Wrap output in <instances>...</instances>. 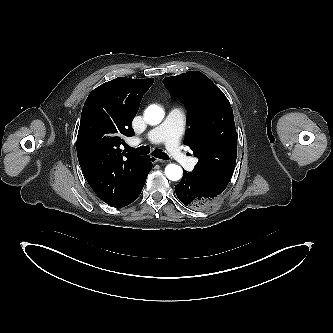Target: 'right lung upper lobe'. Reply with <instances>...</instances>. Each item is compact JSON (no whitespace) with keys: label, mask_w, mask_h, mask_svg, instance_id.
<instances>
[{"label":"right lung upper lobe","mask_w":333,"mask_h":333,"mask_svg":"<svg viewBox=\"0 0 333 333\" xmlns=\"http://www.w3.org/2000/svg\"><path fill=\"white\" fill-rule=\"evenodd\" d=\"M153 82L119 77L94 89L84 104L77 136L79 164L94 192L111 206L128 194L145 159L119 147L123 136L134 135L132 120Z\"/></svg>","instance_id":"obj_1"}]
</instances>
